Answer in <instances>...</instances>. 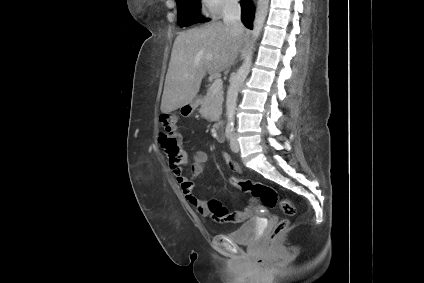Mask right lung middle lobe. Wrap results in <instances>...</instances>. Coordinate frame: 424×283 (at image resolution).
I'll return each mask as SVG.
<instances>
[{"label":"right lung middle lobe","mask_w":424,"mask_h":283,"mask_svg":"<svg viewBox=\"0 0 424 283\" xmlns=\"http://www.w3.org/2000/svg\"><path fill=\"white\" fill-rule=\"evenodd\" d=\"M178 23L180 27L189 26L197 22L208 21L200 14V0H176Z\"/></svg>","instance_id":"obj_1"}]
</instances>
